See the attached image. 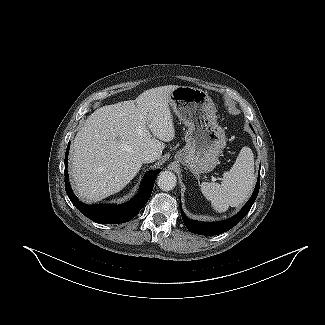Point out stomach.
I'll return each mask as SVG.
<instances>
[{
	"mask_svg": "<svg viewBox=\"0 0 325 325\" xmlns=\"http://www.w3.org/2000/svg\"><path fill=\"white\" fill-rule=\"evenodd\" d=\"M169 104L188 128L186 145L175 154V159L194 175L212 171L226 146L225 131L217 123L213 100L201 89L178 86L172 91Z\"/></svg>",
	"mask_w": 325,
	"mask_h": 325,
	"instance_id": "stomach-1",
	"label": "stomach"
}]
</instances>
